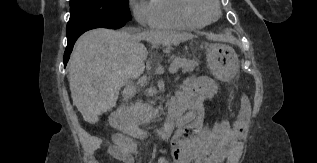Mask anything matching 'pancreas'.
<instances>
[{
  "label": "pancreas",
  "mask_w": 317,
  "mask_h": 163,
  "mask_svg": "<svg viewBox=\"0 0 317 163\" xmlns=\"http://www.w3.org/2000/svg\"><path fill=\"white\" fill-rule=\"evenodd\" d=\"M171 67L176 69L182 68L183 72H192L198 63L194 60L187 58L175 57L171 63ZM156 116V110L149 104H144L142 101H138L131 105L126 111V121L137 126L150 123Z\"/></svg>",
  "instance_id": "cf45deb5"
}]
</instances>
